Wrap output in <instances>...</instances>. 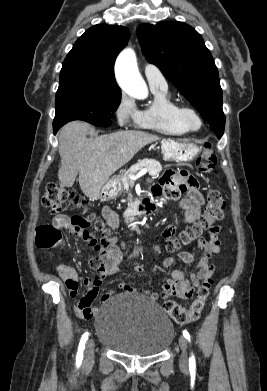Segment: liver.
<instances>
[{
	"mask_svg": "<svg viewBox=\"0 0 267 391\" xmlns=\"http://www.w3.org/2000/svg\"><path fill=\"white\" fill-rule=\"evenodd\" d=\"M91 126L83 121L67 123L59 132L61 166L59 181L73 186L79 173V185L90 199H99L101 187L118 169L128 163L143 147L159 140L156 135L126 130L95 138L86 135Z\"/></svg>",
	"mask_w": 267,
	"mask_h": 391,
	"instance_id": "liver-1",
	"label": "liver"
}]
</instances>
